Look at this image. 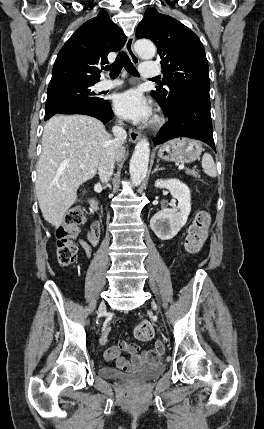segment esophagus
I'll use <instances>...</instances> for the list:
<instances>
[{
	"instance_id": "obj_1",
	"label": "esophagus",
	"mask_w": 264,
	"mask_h": 429,
	"mask_svg": "<svg viewBox=\"0 0 264 429\" xmlns=\"http://www.w3.org/2000/svg\"><path fill=\"white\" fill-rule=\"evenodd\" d=\"M133 44H134V37L129 36L127 38V41L125 44V49H126L127 54L129 55L131 61L134 64H138L139 58L134 51ZM128 134H129L130 141L133 143H136L140 139V133L134 129H129Z\"/></svg>"
}]
</instances>
